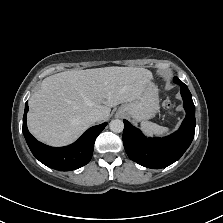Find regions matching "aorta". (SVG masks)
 Here are the masks:
<instances>
[{
  "instance_id": "762f6f07",
  "label": "aorta",
  "mask_w": 223,
  "mask_h": 223,
  "mask_svg": "<svg viewBox=\"0 0 223 223\" xmlns=\"http://www.w3.org/2000/svg\"><path fill=\"white\" fill-rule=\"evenodd\" d=\"M109 127L112 132L120 133L124 129V123L122 120L115 119L110 122Z\"/></svg>"
}]
</instances>
